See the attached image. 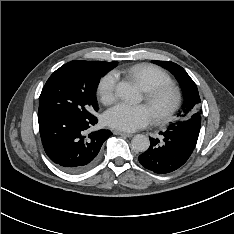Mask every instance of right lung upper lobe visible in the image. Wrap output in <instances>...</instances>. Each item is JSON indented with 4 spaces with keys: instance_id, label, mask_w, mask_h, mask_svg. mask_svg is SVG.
I'll use <instances>...</instances> for the list:
<instances>
[{
    "instance_id": "right-lung-upper-lobe-1",
    "label": "right lung upper lobe",
    "mask_w": 234,
    "mask_h": 234,
    "mask_svg": "<svg viewBox=\"0 0 234 234\" xmlns=\"http://www.w3.org/2000/svg\"><path fill=\"white\" fill-rule=\"evenodd\" d=\"M92 65H97V66H102L105 68L112 69L113 67L116 66L117 62H103V61H83Z\"/></svg>"
}]
</instances>
